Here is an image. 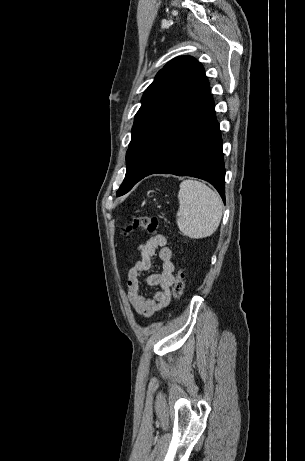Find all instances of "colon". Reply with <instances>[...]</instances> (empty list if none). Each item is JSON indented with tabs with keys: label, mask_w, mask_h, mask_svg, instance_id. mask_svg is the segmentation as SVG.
I'll return each instance as SVG.
<instances>
[{
	"label": "colon",
	"mask_w": 305,
	"mask_h": 461,
	"mask_svg": "<svg viewBox=\"0 0 305 461\" xmlns=\"http://www.w3.org/2000/svg\"><path fill=\"white\" fill-rule=\"evenodd\" d=\"M135 229H146L151 233H155L159 229V220L156 217L148 216H135L126 227V231ZM185 289V276L180 269L172 287V295L174 298L179 299L182 297Z\"/></svg>",
	"instance_id": "colon-1"
}]
</instances>
